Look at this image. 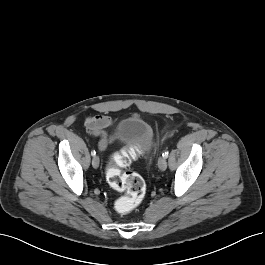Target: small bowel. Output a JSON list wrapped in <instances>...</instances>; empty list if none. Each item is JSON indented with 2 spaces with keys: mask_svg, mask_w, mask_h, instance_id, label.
<instances>
[{
  "mask_svg": "<svg viewBox=\"0 0 265 265\" xmlns=\"http://www.w3.org/2000/svg\"><path fill=\"white\" fill-rule=\"evenodd\" d=\"M111 125V118L105 115H94L85 120L89 133L100 137L98 144L100 150L107 149L115 141V134L107 131Z\"/></svg>",
  "mask_w": 265,
  "mask_h": 265,
  "instance_id": "1",
  "label": "small bowel"
}]
</instances>
